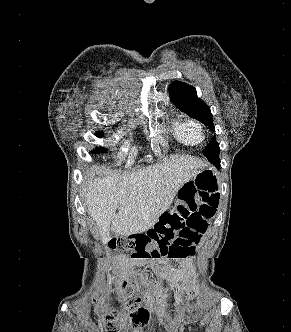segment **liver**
<instances>
[{"instance_id": "liver-1", "label": "liver", "mask_w": 291, "mask_h": 332, "mask_svg": "<svg viewBox=\"0 0 291 332\" xmlns=\"http://www.w3.org/2000/svg\"><path fill=\"white\" fill-rule=\"evenodd\" d=\"M206 166L199 158L175 155L130 174L121 176L116 171L92 177L85 204L102 242L109 241L111 231L120 236L147 231L170 207L181 187Z\"/></svg>"}]
</instances>
